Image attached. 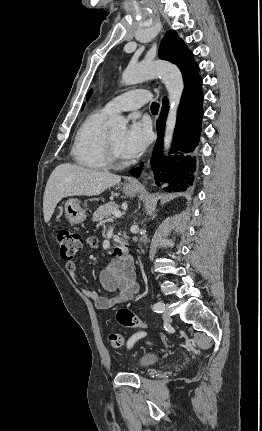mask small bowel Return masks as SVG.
Segmentation results:
<instances>
[{
    "label": "small bowel",
    "mask_w": 262,
    "mask_h": 431,
    "mask_svg": "<svg viewBox=\"0 0 262 431\" xmlns=\"http://www.w3.org/2000/svg\"><path fill=\"white\" fill-rule=\"evenodd\" d=\"M65 268L72 279L75 280L79 290L87 298L93 300L100 310H109L116 305L135 299L139 294L136 270L131 257H116L101 272L99 277L100 285L104 293L113 294L111 297L101 295L79 282L76 276L75 262H67ZM144 336V332H137L129 341L134 343Z\"/></svg>",
    "instance_id": "small-bowel-1"
}]
</instances>
